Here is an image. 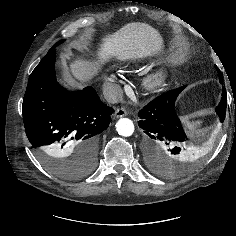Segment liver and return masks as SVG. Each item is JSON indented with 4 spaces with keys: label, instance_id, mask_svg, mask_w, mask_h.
I'll use <instances>...</instances> for the list:
<instances>
[{
    "label": "liver",
    "instance_id": "1",
    "mask_svg": "<svg viewBox=\"0 0 236 236\" xmlns=\"http://www.w3.org/2000/svg\"><path fill=\"white\" fill-rule=\"evenodd\" d=\"M163 48V40L154 28L144 23H130L102 39V60L115 57L120 61L151 56ZM92 64L77 60L70 64L71 75L84 82L93 74Z\"/></svg>",
    "mask_w": 236,
    "mask_h": 236
}]
</instances>
